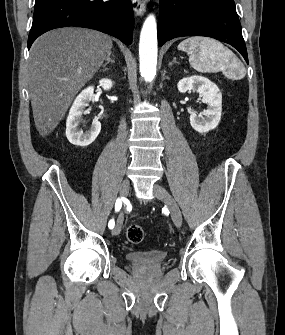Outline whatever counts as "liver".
Masks as SVG:
<instances>
[{
	"instance_id": "6515ba94",
	"label": "liver",
	"mask_w": 285,
	"mask_h": 335,
	"mask_svg": "<svg viewBox=\"0 0 285 335\" xmlns=\"http://www.w3.org/2000/svg\"><path fill=\"white\" fill-rule=\"evenodd\" d=\"M111 48L109 36L88 28H60L34 42L27 74L40 136L55 130L76 94L107 60Z\"/></svg>"
}]
</instances>
